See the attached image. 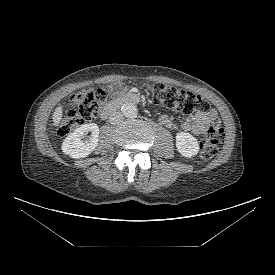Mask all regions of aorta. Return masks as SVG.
Instances as JSON below:
<instances>
[{
	"instance_id": "762f6f07",
	"label": "aorta",
	"mask_w": 275,
	"mask_h": 275,
	"mask_svg": "<svg viewBox=\"0 0 275 275\" xmlns=\"http://www.w3.org/2000/svg\"><path fill=\"white\" fill-rule=\"evenodd\" d=\"M121 111H122L123 115L127 118H134L137 116V113H138V109H137L136 105H134L132 103L123 104Z\"/></svg>"
}]
</instances>
